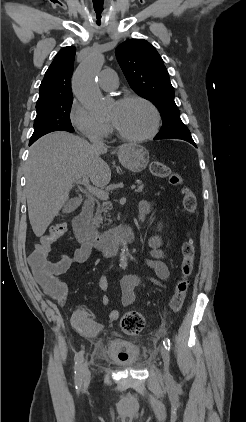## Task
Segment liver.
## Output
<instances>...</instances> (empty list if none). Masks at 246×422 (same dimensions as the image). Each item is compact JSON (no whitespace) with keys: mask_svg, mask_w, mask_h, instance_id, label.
<instances>
[{"mask_svg":"<svg viewBox=\"0 0 246 422\" xmlns=\"http://www.w3.org/2000/svg\"><path fill=\"white\" fill-rule=\"evenodd\" d=\"M107 150L64 131L45 135L31 146L26 196L30 224L37 237L45 233L68 201L74 182L84 176L97 187L110 182L111 170L100 157Z\"/></svg>","mask_w":246,"mask_h":422,"instance_id":"liver-1","label":"liver"}]
</instances>
